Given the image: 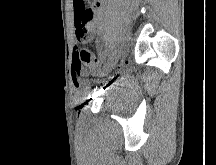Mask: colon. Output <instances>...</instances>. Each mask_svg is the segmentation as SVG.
<instances>
[{
  "instance_id": "colon-1",
  "label": "colon",
  "mask_w": 216,
  "mask_h": 165,
  "mask_svg": "<svg viewBox=\"0 0 216 165\" xmlns=\"http://www.w3.org/2000/svg\"><path fill=\"white\" fill-rule=\"evenodd\" d=\"M92 17V13H83V19L88 20ZM89 32L84 27H81L77 33L78 41H86L91 37ZM82 67H88L93 71H98L101 68L100 60L87 48H78L75 51L73 68L74 77L80 76V70Z\"/></svg>"
}]
</instances>
